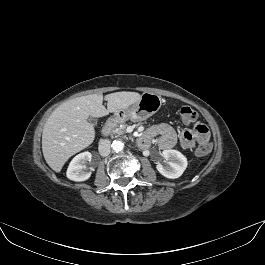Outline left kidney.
Here are the masks:
<instances>
[{"mask_svg":"<svg viewBox=\"0 0 265 265\" xmlns=\"http://www.w3.org/2000/svg\"><path fill=\"white\" fill-rule=\"evenodd\" d=\"M165 165L158 163L156 168L160 174L169 179L180 177L187 168V158L177 150H164L161 154Z\"/></svg>","mask_w":265,"mask_h":265,"instance_id":"left-kidney-1","label":"left kidney"}]
</instances>
